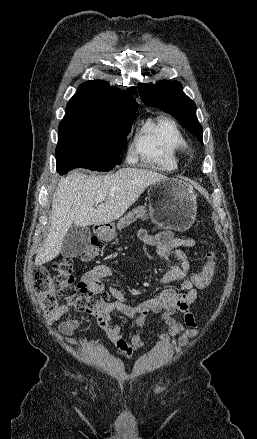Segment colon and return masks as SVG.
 Listing matches in <instances>:
<instances>
[{"mask_svg":"<svg viewBox=\"0 0 257 439\" xmlns=\"http://www.w3.org/2000/svg\"><path fill=\"white\" fill-rule=\"evenodd\" d=\"M100 253L99 242L94 240L83 253L84 260H93ZM56 272L51 275L44 267L33 270V284L39 297L40 306L44 314L50 316L58 308L59 302H64L79 311L97 313L109 303L110 296L105 291L93 292L80 285H76L72 275L73 262L64 258L53 265ZM215 273V255L207 254V260L200 271L192 272L188 278L197 288L206 287Z\"/></svg>","mask_w":257,"mask_h":439,"instance_id":"1","label":"colon"}]
</instances>
